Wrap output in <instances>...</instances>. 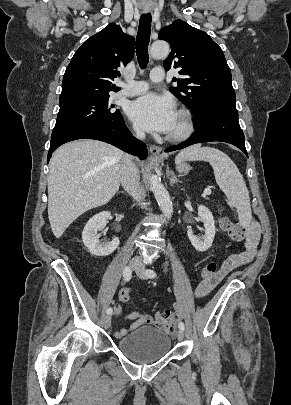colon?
<instances>
[{"instance_id": "obj_1", "label": "colon", "mask_w": 291, "mask_h": 405, "mask_svg": "<svg viewBox=\"0 0 291 405\" xmlns=\"http://www.w3.org/2000/svg\"><path fill=\"white\" fill-rule=\"evenodd\" d=\"M222 228L228 234V236L238 242H242L247 237V229L239 223L232 221L228 217H223ZM218 265L214 262L208 263L201 271L202 280H213L218 274ZM130 298V291L128 289H123L120 292V300L122 302H127Z\"/></svg>"}]
</instances>
